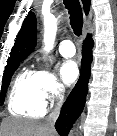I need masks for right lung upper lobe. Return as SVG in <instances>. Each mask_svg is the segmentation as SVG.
Here are the masks:
<instances>
[{"instance_id":"obj_1","label":"right lung upper lobe","mask_w":117,"mask_h":136,"mask_svg":"<svg viewBox=\"0 0 117 136\" xmlns=\"http://www.w3.org/2000/svg\"><path fill=\"white\" fill-rule=\"evenodd\" d=\"M85 14L89 13L90 0H82ZM37 22L34 13L29 12L18 33L8 61L25 59L36 46Z\"/></svg>"}]
</instances>
